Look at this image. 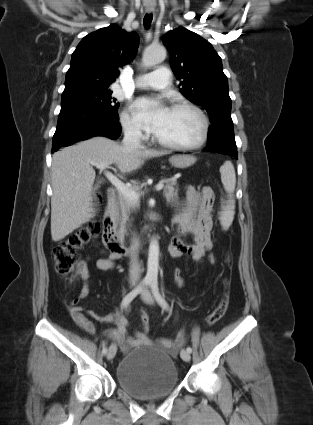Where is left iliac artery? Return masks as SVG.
Returning <instances> with one entry per match:
<instances>
[{
    "instance_id": "1",
    "label": "left iliac artery",
    "mask_w": 313,
    "mask_h": 425,
    "mask_svg": "<svg viewBox=\"0 0 313 425\" xmlns=\"http://www.w3.org/2000/svg\"><path fill=\"white\" fill-rule=\"evenodd\" d=\"M150 287L153 293V296L155 297L156 301L158 302V304L163 308L168 310L169 309V305L168 303L165 301V299L161 296L160 292H159V288H158V281L157 279H152L151 283H150ZM189 353L192 352V348L191 347H187L186 349Z\"/></svg>"
}]
</instances>
